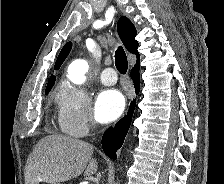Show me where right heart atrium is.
I'll return each instance as SVG.
<instances>
[{
	"label": "right heart atrium",
	"mask_w": 224,
	"mask_h": 184,
	"mask_svg": "<svg viewBox=\"0 0 224 184\" xmlns=\"http://www.w3.org/2000/svg\"><path fill=\"white\" fill-rule=\"evenodd\" d=\"M57 104L58 124L63 132L73 137H84L95 126L91 100L83 88L71 84L64 85Z\"/></svg>",
	"instance_id": "obj_1"
}]
</instances>
